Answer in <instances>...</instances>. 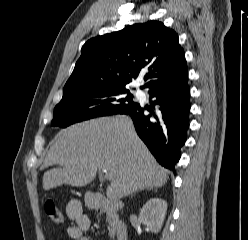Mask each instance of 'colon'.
<instances>
[{
  "label": "colon",
  "instance_id": "obj_1",
  "mask_svg": "<svg viewBox=\"0 0 248 240\" xmlns=\"http://www.w3.org/2000/svg\"><path fill=\"white\" fill-rule=\"evenodd\" d=\"M44 211L47 217L56 225L64 223V213L52 202L47 201L44 205Z\"/></svg>",
  "mask_w": 248,
  "mask_h": 240
}]
</instances>
